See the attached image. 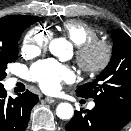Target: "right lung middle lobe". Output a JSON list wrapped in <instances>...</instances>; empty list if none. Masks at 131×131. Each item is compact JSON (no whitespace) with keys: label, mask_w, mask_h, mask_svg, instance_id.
Listing matches in <instances>:
<instances>
[{"label":"right lung middle lobe","mask_w":131,"mask_h":131,"mask_svg":"<svg viewBox=\"0 0 131 131\" xmlns=\"http://www.w3.org/2000/svg\"><path fill=\"white\" fill-rule=\"evenodd\" d=\"M42 20L41 17L19 15L9 26L8 36L0 39V88L1 80L6 76V68L9 63L18 58V40L23 31L30 25Z\"/></svg>","instance_id":"1"}]
</instances>
